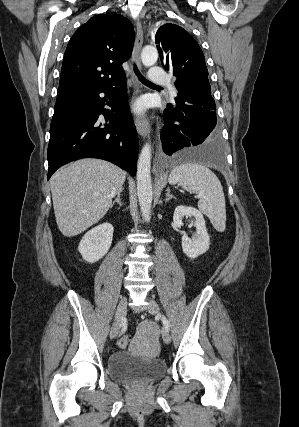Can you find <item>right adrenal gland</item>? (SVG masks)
I'll return each mask as SVG.
<instances>
[{
  "label": "right adrenal gland",
  "mask_w": 299,
  "mask_h": 427,
  "mask_svg": "<svg viewBox=\"0 0 299 427\" xmlns=\"http://www.w3.org/2000/svg\"><path fill=\"white\" fill-rule=\"evenodd\" d=\"M122 191H123V188L121 189V191H120V192H118L117 197H116V198H115V200L112 202V204H111L110 208H112V207L114 206V204H115V203H118V204H119V206H120V207H122V202H121V198H120Z\"/></svg>",
  "instance_id": "right-adrenal-gland-1"
}]
</instances>
